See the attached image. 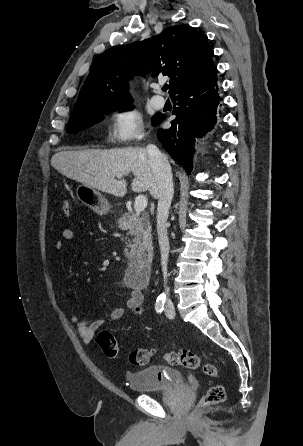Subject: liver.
Masks as SVG:
<instances>
[{
    "label": "liver",
    "mask_w": 303,
    "mask_h": 446,
    "mask_svg": "<svg viewBox=\"0 0 303 446\" xmlns=\"http://www.w3.org/2000/svg\"><path fill=\"white\" fill-rule=\"evenodd\" d=\"M51 165L67 178L117 197L126 194L127 182L115 177L132 172V190H149L157 198V182L145 148L60 151L51 158Z\"/></svg>",
    "instance_id": "1"
}]
</instances>
